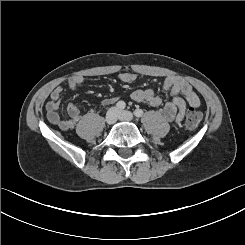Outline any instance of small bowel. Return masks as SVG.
Masks as SVG:
<instances>
[{"label":"small bowel","mask_w":245,"mask_h":245,"mask_svg":"<svg viewBox=\"0 0 245 245\" xmlns=\"http://www.w3.org/2000/svg\"><path fill=\"white\" fill-rule=\"evenodd\" d=\"M119 79L124 83H133L136 75L133 73H121ZM84 82L82 76L70 77L67 81L71 90L76 89ZM162 88L167 92L171 99L164 105L163 114L167 121L180 123L184 119L187 104L191 107H198L200 99L194 92L192 86L179 76H171L164 80ZM62 88L60 86L53 89L50 100L46 104V115L48 121L58 126L62 130L73 129L81 119V113L75 104L69 103L67 106L68 118L63 119L58 110L62 99ZM182 96V97H181ZM131 98L137 103L146 104L151 107H159L163 104V98L156 94L153 89H137L132 92ZM117 97L106 98L101 101V105H111L117 102Z\"/></svg>","instance_id":"small-bowel-1"}]
</instances>
